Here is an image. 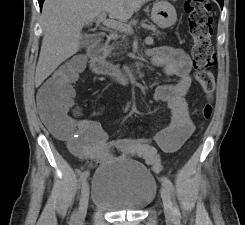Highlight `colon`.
Listing matches in <instances>:
<instances>
[{
  "mask_svg": "<svg viewBox=\"0 0 245 225\" xmlns=\"http://www.w3.org/2000/svg\"><path fill=\"white\" fill-rule=\"evenodd\" d=\"M186 13L191 37L193 39L192 54L198 82L206 95V102L202 108L204 119H210L213 113L214 78L209 69L216 63V56L212 48L213 33L211 4L207 0H186ZM81 65L79 60H70L54 72L41 86L45 95L57 101L67 97L74 78V69ZM53 128L66 144L73 148L76 145V130L74 127L53 123ZM161 170V169H160Z\"/></svg>",
  "mask_w": 245,
  "mask_h": 225,
  "instance_id": "colon-1",
  "label": "colon"
}]
</instances>
